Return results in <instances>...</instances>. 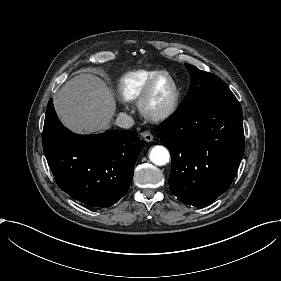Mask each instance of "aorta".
Returning <instances> with one entry per match:
<instances>
[{
  "label": "aorta",
  "instance_id": "1",
  "mask_svg": "<svg viewBox=\"0 0 281 281\" xmlns=\"http://www.w3.org/2000/svg\"><path fill=\"white\" fill-rule=\"evenodd\" d=\"M149 159L155 165L163 166L169 162L170 153L166 147L157 145L151 149Z\"/></svg>",
  "mask_w": 281,
  "mask_h": 281
}]
</instances>
